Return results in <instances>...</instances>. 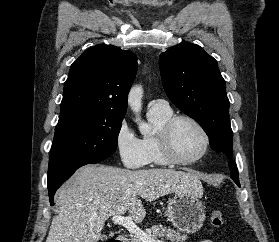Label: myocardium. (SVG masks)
Wrapping results in <instances>:
<instances>
[{
    "label": "myocardium",
    "mask_w": 279,
    "mask_h": 242,
    "mask_svg": "<svg viewBox=\"0 0 279 242\" xmlns=\"http://www.w3.org/2000/svg\"><path fill=\"white\" fill-rule=\"evenodd\" d=\"M179 121H187L193 124L199 130L203 138L202 151L194 158L188 160L179 158L176 155L172 145V132L175 125ZM158 142L161 152L167 162L169 164L179 166H188L200 161L207 154L210 147V137L205 127L194 117L184 114L173 115L169 120H167L158 134Z\"/></svg>",
    "instance_id": "1"
}]
</instances>
